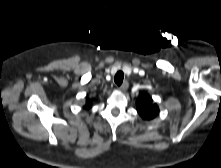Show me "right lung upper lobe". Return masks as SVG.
I'll list each match as a JSON object with an SVG mask.
<instances>
[{
    "label": "right lung upper lobe",
    "mask_w": 221,
    "mask_h": 168,
    "mask_svg": "<svg viewBox=\"0 0 221 168\" xmlns=\"http://www.w3.org/2000/svg\"><path fill=\"white\" fill-rule=\"evenodd\" d=\"M91 105H92L91 100H90V99H87V100H86L85 108H90Z\"/></svg>",
    "instance_id": "right-lung-upper-lobe-1"
}]
</instances>
